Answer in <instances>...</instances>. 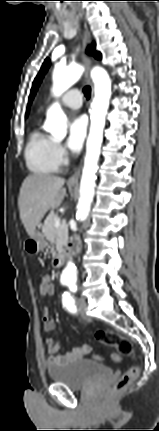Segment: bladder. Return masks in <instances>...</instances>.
Listing matches in <instances>:
<instances>
[{
  "label": "bladder",
  "instance_id": "bladder-1",
  "mask_svg": "<svg viewBox=\"0 0 159 431\" xmlns=\"http://www.w3.org/2000/svg\"><path fill=\"white\" fill-rule=\"evenodd\" d=\"M112 374L110 367L90 359H79L64 365H49L47 375L51 382L81 389Z\"/></svg>",
  "mask_w": 159,
  "mask_h": 431
}]
</instances>
